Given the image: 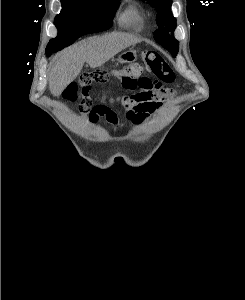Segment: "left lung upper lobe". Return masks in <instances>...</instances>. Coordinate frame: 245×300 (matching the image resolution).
Returning <instances> with one entry per match:
<instances>
[{"mask_svg": "<svg viewBox=\"0 0 245 300\" xmlns=\"http://www.w3.org/2000/svg\"><path fill=\"white\" fill-rule=\"evenodd\" d=\"M147 1L157 12V25L159 29L154 32L155 40L164 48L176 55L179 42L174 37L176 18L171 12L172 0H142Z\"/></svg>", "mask_w": 245, "mask_h": 300, "instance_id": "left-lung-upper-lobe-1", "label": "left lung upper lobe"}]
</instances>
